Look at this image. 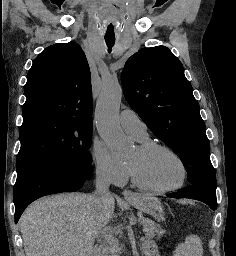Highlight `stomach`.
Here are the masks:
<instances>
[{
    "label": "stomach",
    "mask_w": 236,
    "mask_h": 256,
    "mask_svg": "<svg viewBox=\"0 0 236 256\" xmlns=\"http://www.w3.org/2000/svg\"><path fill=\"white\" fill-rule=\"evenodd\" d=\"M129 203L156 219H160L163 216V208L161 202L155 197L143 196L138 200L129 201Z\"/></svg>",
    "instance_id": "1"
}]
</instances>
